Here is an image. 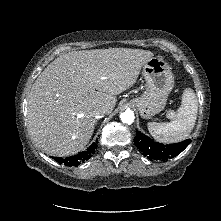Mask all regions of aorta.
Masks as SVG:
<instances>
[{"mask_svg": "<svg viewBox=\"0 0 221 221\" xmlns=\"http://www.w3.org/2000/svg\"><path fill=\"white\" fill-rule=\"evenodd\" d=\"M120 119L123 123L130 125L134 122L135 119L134 112L130 109H127L126 111L121 113Z\"/></svg>", "mask_w": 221, "mask_h": 221, "instance_id": "obj_1", "label": "aorta"}]
</instances>
